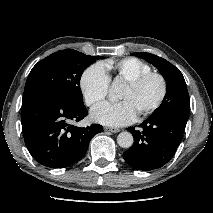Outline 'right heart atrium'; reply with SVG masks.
Listing matches in <instances>:
<instances>
[{"label": "right heart atrium", "instance_id": "obj_1", "mask_svg": "<svg viewBox=\"0 0 213 213\" xmlns=\"http://www.w3.org/2000/svg\"><path fill=\"white\" fill-rule=\"evenodd\" d=\"M110 79L101 64L87 67L80 78V90L87 105L93 106L105 99Z\"/></svg>", "mask_w": 213, "mask_h": 213}]
</instances>
